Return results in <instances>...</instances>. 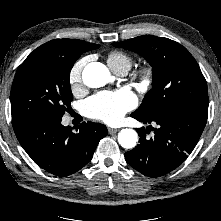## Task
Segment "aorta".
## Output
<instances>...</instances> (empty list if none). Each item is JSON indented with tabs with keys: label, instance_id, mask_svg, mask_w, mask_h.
Wrapping results in <instances>:
<instances>
[{
	"label": "aorta",
	"instance_id": "obj_1",
	"mask_svg": "<svg viewBox=\"0 0 221 221\" xmlns=\"http://www.w3.org/2000/svg\"><path fill=\"white\" fill-rule=\"evenodd\" d=\"M111 75L108 68L100 62L87 64L82 72V79L86 86L99 88L110 81ZM138 134L134 129L125 128L118 133L119 144L126 149L136 146Z\"/></svg>",
	"mask_w": 221,
	"mask_h": 221
}]
</instances>
